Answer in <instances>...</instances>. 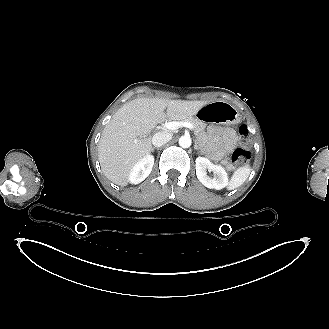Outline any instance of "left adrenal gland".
I'll return each instance as SVG.
<instances>
[{
    "label": "left adrenal gland",
    "mask_w": 329,
    "mask_h": 329,
    "mask_svg": "<svg viewBox=\"0 0 329 329\" xmlns=\"http://www.w3.org/2000/svg\"><path fill=\"white\" fill-rule=\"evenodd\" d=\"M194 148H195L196 150H199V148H198L197 144L194 146Z\"/></svg>",
    "instance_id": "left-adrenal-gland-1"
}]
</instances>
